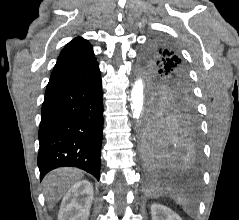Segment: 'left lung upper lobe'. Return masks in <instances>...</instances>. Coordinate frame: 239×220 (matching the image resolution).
Wrapping results in <instances>:
<instances>
[{
    "label": "left lung upper lobe",
    "instance_id": "left-lung-upper-lobe-1",
    "mask_svg": "<svg viewBox=\"0 0 239 220\" xmlns=\"http://www.w3.org/2000/svg\"><path fill=\"white\" fill-rule=\"evenodd\" d=\"M141 60L151 78L149 118L155 112H195L188 68L174 44L153 39Z\"/></svg>",
    "mask_w": 239,
    "mask_h": 220
}]
</instances>
